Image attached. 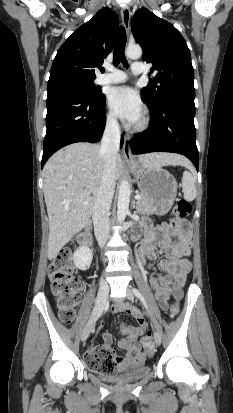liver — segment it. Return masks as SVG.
<instances>
[{"instance_id": "liver-1", "label": "liver", "mask_w": 233, "mask_h": 413, "mask_svg": "<svg viewBox=\"0 0 233 413\" xmlns=\"http://www.w3.org/2000/svg\"><path fill=\"white\" fill-rule=\"evenodd\" d=\"M100 148L99 144L74 143L57 151L44 166L43 188L49 217V260L55 258L89 222L102 182L104 162ZM138 160L151 168L188 164L184 157L171 153L145 154L138 156ZM121 173L122 160L117 155L116 180Z\"/></svg>"}]
</instances>
